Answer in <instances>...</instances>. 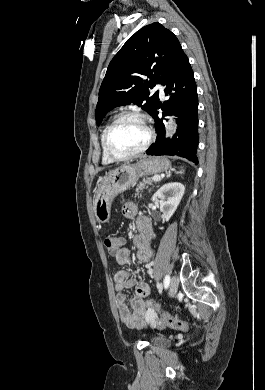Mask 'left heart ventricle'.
I'll return each mask as SVG.
<instances>
[{
	"instance_id": "left-heart-ventricle-1",
	"label": "left heart ventricle",
	"mask_w": 265,
	"mask_h": 390,
	"mask_svg": "<svg viewBox=\"0 0 265 390\" xmlns=\"http://www.w3.org/2000/svg\"><path fill=\"white\" fill-rule=\"evenodd\" d=\"M147 139L145 126L136 119L122 120L110 135V147L118 155L132 153L143 146Z\"/></svg>"
}]
</instances>
